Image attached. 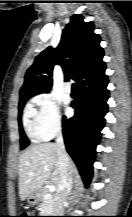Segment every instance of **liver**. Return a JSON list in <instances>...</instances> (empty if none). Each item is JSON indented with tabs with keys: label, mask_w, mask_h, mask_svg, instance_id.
I'll return each mask as SVG.
<instances>
[{
	"label": "liver",
	"mask_w": 132,
	"mask_h": 217,
	"mask_svg": "<svg viewBox=\"0 0 132 217\" xmlns=\"http://www.w3.org/2000/svg\"><path fill=\"white\" fill-rule=\"evenodd\" d=\"M73 171L75 165L72 163ZM19 197L25 200L39 191L46 182L56 189L60 184L57 146L55 143H40L30 146L19 158Z\"/></svg>",
	"instance_id": "6515ba94"
}]
</instances>
